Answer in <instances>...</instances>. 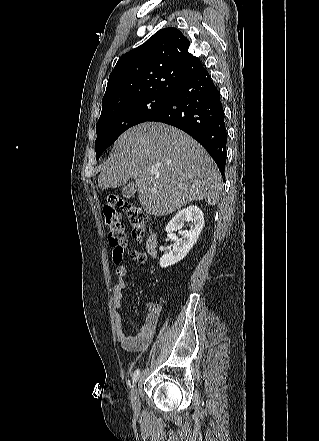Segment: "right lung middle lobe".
Returning a JSON list of instances; mask_svg holds the SVG:
<instances>
[{
  "label": "right lung middle lobe",
  "mask_w": 319,
  "mask_h": 441,
  "mask_svg": "<svg viewBox=\"0 0 319 441\" xmlns=\"http://www.w3.org/2000/svg\"><path fill=\"white\" fill-rule=\"evenodd\" d=\"M169 100L170 97L149 96L115 104L103 110L96 125V159H99L103 151L125 130L148 121L159 113Z\"/></svg>",
  "instance_id": "right-lung-middle-lobe-1"
}]
</instances>
